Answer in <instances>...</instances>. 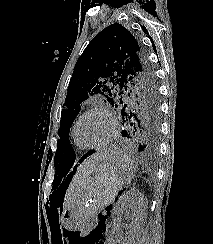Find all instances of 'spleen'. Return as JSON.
Wrapping results in <instances>:
<instances>
[{"label": "spleen", "mask_w": 213, "mask_h": 244, "mask_svg": "<svg viewBox=\"0 0 213 244\" xmlns=\"http://www.w3.org/2000/svg\"><path fill=\"white\" fill-rule=\"evenodd\" d=\"M122 159L125 162V166L132 171L134 169L133 160L126 154H122Z\"/></svg>", "instance_id": "spleen-1"}]
</instances>
